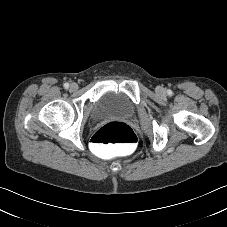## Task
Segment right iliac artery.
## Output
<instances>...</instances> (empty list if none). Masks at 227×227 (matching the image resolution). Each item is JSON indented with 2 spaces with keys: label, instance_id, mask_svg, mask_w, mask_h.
<instances>
[{
  "label": "right iliac artery",
  "instance_id": "82829eb1",
  "mask_svg": "<svg viewBox=\"0 0 227 227\" xmlns=\"http://www.w3.org/2000/svg\"><path fill=\"white\" fill-rule=\"evenodd\" d=\"M64 88H65V89H68V88H69V84H68V83H65V84H64Z\"/></svg>",
  "mask_w": 227,
  "mask_h": 227
}]
</instances>
